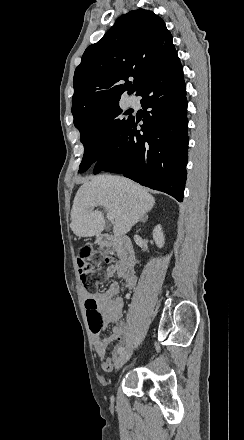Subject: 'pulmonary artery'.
I'll use <instances>...</instances> for the list:
<instances>
[{
	"instance_id": "e3ab8cb5",
	"label": "pulmonary artery",
	"mask_w": 244,
	"mask_h": 440,
	"mask_svg": "<svg viewBox=\"0 0 244 440\" xmlns=\"http://www.w3.org/2000/svg\"><path fill=\"white\" fill-rule=\"evenodd\" d=\"M129 104L131 106H137L138 105V99L135 96H130L129 97Z\"/></svg>"
}]
</instances>
